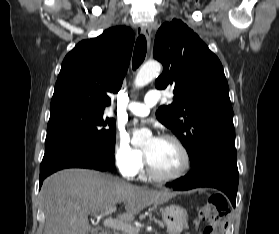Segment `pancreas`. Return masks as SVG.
<instances>
[{
  "label": "pancreas",
  "instance_id": "pancreas-1",
  "mask_svg": "<svg viewBox=\"0 0 279 234\" xmlns=\"http://www.w3.org/2000/svg\"><path fill=\"white\" fill-rule=\"evenodd\" d=\"M127 234H138V230L136 228H134V231L133 232H129Z\"/></svg>",
  "mask_w": 279,
  "mask_h": 234
}]
</instances>
